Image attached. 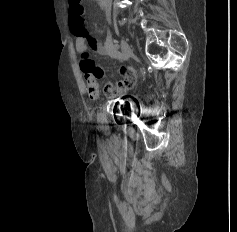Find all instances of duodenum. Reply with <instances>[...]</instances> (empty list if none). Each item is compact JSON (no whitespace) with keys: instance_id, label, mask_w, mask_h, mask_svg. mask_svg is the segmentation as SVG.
I'll return each mask as SVG.
<instances>
[{"instance_id":"1","label":"duodenum","mask_w":237,"mask_h":232,"mask_svg":"<svg viewBox=\"0 0 237 232\" xmlns=\"http://www.w3.org/2000/svg\"><path fill=\"white\" fill-rule=\"evenodd\" d=\"M100 6H103L105 3V0H96Z\"/></svg>"}]
</instances>
